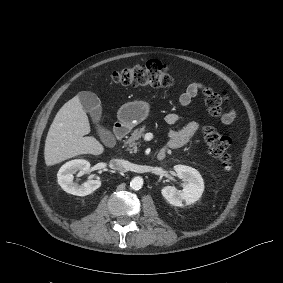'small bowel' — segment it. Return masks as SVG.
<instances>
[{
	"mask_svg": "<svg viewBox=\"0 0 283 283\" xmlns=\"http://www.w3.org/2000/svg\"><path fill=\"white\" fill-rule=\"evenodd\" d=\"M204 84L195 81L193 79H188L185 81V90L180 94L178 98V104L181 107H186L190 104L191 100L204 89ZM236 113L233 109H230L226 112L221 121L223 124H231L235 119ZM179 116L174 112H170L165 116V122L169 125L168 137L169 142L167 147L169 149H177L187 145L191 140L194 134L199 130L198 122H190L183 126L182 128L176 129L174 126L178 122Z\"/></svg>",
	"mask_w": 283,
	"mask_h": 283,
	"instance_id": "c3829d8e",
	"label": "small bowel"
}]
</instances>
